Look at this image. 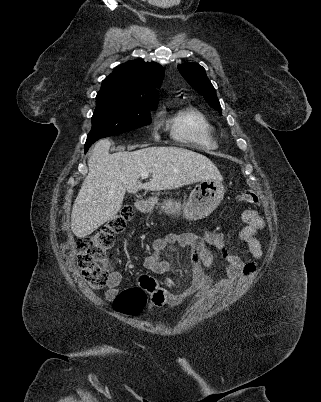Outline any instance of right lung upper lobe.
Masks as SVG:
<instances>
[{
    "mask_svg": "<svg viewBox=\"0 0 321 402\" xmlns=\"http://www.w3.org/2000/svg\"><path fill=\"white\" fill-rule=\"evenodd\" d=\"M164 68L156 62L132 60L117 66L102 81L97 96L124 99L133 103L157 105V91Z\"/></svg>",
    "mask_w": 321,
    "mask_h": 402,
    "instance_id": "right-lung-upper-lobe-1",
    "label": "right lung upper lobe"
}]
</instances>
